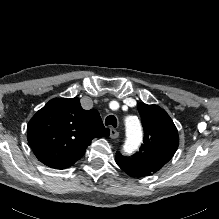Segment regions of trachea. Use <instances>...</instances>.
I'll list each match as a JSON object with an SVG mask.
<instances>
[{
  "instance_id": "1",
  "label": "trachea",
  "mask_w": 219,
  "mask_h": 219,
  "mask_svg": "<svg viewBox=\"0 0 219 219\" xmlns=\"http://www.w3.org/2000/svg\"><path fill=\"white\" fill-rule=\"evenodd\" d=\"M105 125H111L113 127L117 126V119L114 115H109L106 119H105Z\"/></svg>"
}]
</instances>
